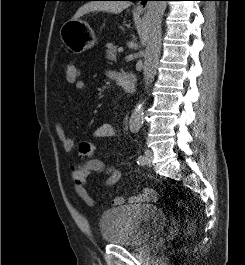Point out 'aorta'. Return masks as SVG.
Instances as JSON below:
<instances>
[{
  "mask_svg": "<svg viewBox=\"0 0 245 265\" xmlns=\"http://www.w3.org/2000/svg\"><path fill=\"white\" fill-rule=\"evenodd\" d=\"M167 7L166 1H150L147 5L146 30H145V54L143 65V80L146 88L153 82L157 72V65L162 45V18ZM144 101H140L134 108L129 127L133 132H137L143 122Z\"/></svg>",
  "mask_w": 245,
  "mask_h": 265,
  "instance_id": "aorta-1",
  "label": "aorta"
}]
</instances>
